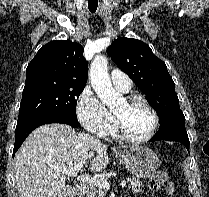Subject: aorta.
<instances>
[{
	"instance_id": "762f6f07",
	"label": "aorta",
	"mask_w": 209,
	"mask_h": 197,
	"mask_svg": "<svg viewBox=\"0 0 209 197\" xmlns=\"http://www.w3.org/2000/svg\"><path fill=\"white\" fill-rule=\"evenodd\" d=\"M107 65L105 56L96 55L90 66V79L92 87L101 101L113 108L120 104L122 97L112 87Z\"/></svg>"
}]
</instances>
